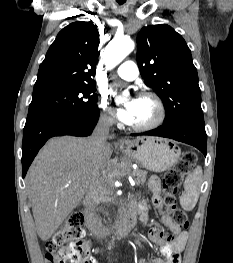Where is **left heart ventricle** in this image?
<instances>
[{
    "label": "left heart ventricle",
    "instance_id": "b2bd125f",
    "mask_svg": "<svg viewBox=\"0 0 233 263\" xmlns=\"http://www.w3.org/2000/svg\"><path fill=\"white\" fill-rule=\"evenodd\" d=\"M156 107L150 99L138 98L137 113L133 125L150 122L156 115Z\"/></svg>",
    "mask_w": 233,
    "mask_h": 263
}]
</instances>
